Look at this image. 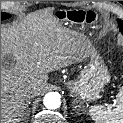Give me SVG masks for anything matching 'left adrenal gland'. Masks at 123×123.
Wrapping results in <instances>:
<instances>
[{
    "mask_svg": "<svg viewBox=\"0 0 123 123\" xmlns=\"http://www.w3.org/2000/svg\"><path fill=\"white\" fill-rule=\"evenodd\" d=\"M82 111L85 112V109L83 108ZM77 113H78V112H77Z\"/></svg>",
    "mask_w": 123,
    "mask_h": 123,
    "instance_id": "1",
    "label": "left adrenal gland"
}]
</instances>
